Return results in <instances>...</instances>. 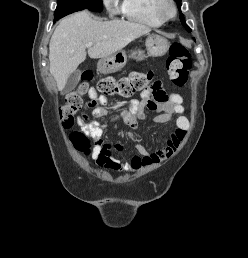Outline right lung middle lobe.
<instances>
[{
	"mask_svg": "<svg viewBox=\"0 0 248 258\" xmlns=\"http://www.w3.org/2000/svg\"><path fill=\"white\" fill-rule=\"evenodd\" d=\"M83 9L102 11V0H57L54 22L60 18Z\"/></svg>",
	"mask_w": 248,
	"mask_h": 258,
	"instance_id": "right-lung-middle-lobe-1",
	"label": "right lung middle lobe"
}]
</instances>
